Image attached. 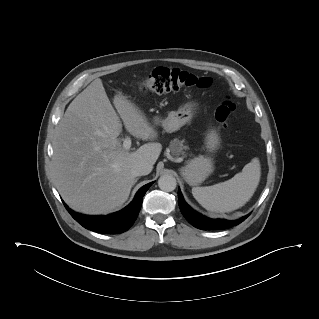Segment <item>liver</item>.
<instances>
[{
    "label": "liver",
    "instance_id": "obj_1",
    "mask_svg": "<svg viewBox=\"0 0 319 319\" xmlns=\"http://www.w3.org/2000/svg\"><path fill=\"white\" fill-rule=\"evenodd\" d=\"M114 105L126 130L142 140H155L158 133L144 113L118 92ZM122 124L97 78L68 106L56 131L53 154L55 185L63 200L75 211L108 214L129 197L138 161L152 168L162 145L149 142L134 152L118 140Z\"/></svg>",
    "mask_w": 319,
    "mask_h": 319
}]
</instances>
